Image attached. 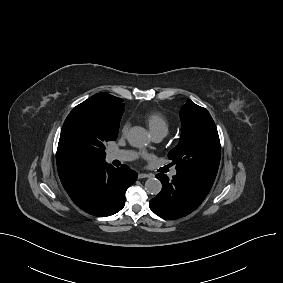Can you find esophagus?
<instances>
[{"label":"esophagus","instance_id":"obj_1","mask_svg":"<svg viewBox=\"0 0 283 283\" xmlns=\"http://www.w3.org/2000/svg\"><path fill=\"white\" fill-rule=\"evenodd\" d=\"M149 177H150V175H149V174H146V173H139V174H138V178H139V179L149 178Z\"/></svg>","mask_w":283,"mask_h":283}]
</instances>
